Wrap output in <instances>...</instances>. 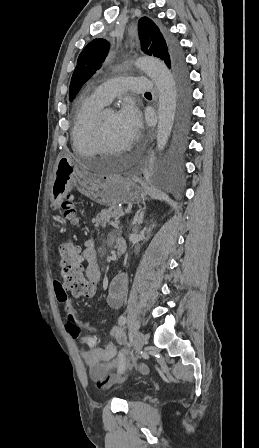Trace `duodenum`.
I'll return each mask as SVG.
<instances>
[{"mask_svg": "<svg viewBox=\"0 0 259 448\" xmlns=\"http://www.w3.org/2000/svg\"><path fill=\"white\" fill-rule=\"evenodd\" d=\"M116 247H117V251H118L119 255H123L126 250L125 242L122 240H119L116 244Z\"/></svg>", "mask_w": 259, "mask_h": 448, "instance_id": "obj_1", "label": "duodenum"}]
</instances>
